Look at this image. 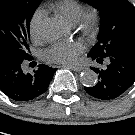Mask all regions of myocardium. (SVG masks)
Instances as JSON below:
<instances>
[{"instance_id": "myocardium-1", "label": "myocardium", "mask_w": 135, "mask_h": 135, "mask_svg": "<svg viewBox=\"0 0 135 135\" xmlns=\"http://www.w3.org/2000/svg\"><path fill=\"white\" fill-rule=\"evenodd\" d=\"M81 30L87 34H92L99 24V13L95 8H89L82 12L79 20Z\"/></svg>"}]
</instances>
